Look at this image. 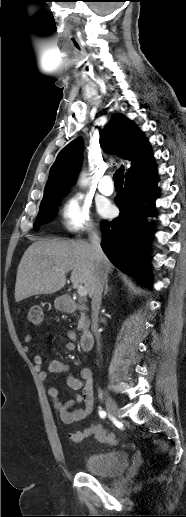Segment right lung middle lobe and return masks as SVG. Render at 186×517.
I'll return each mask as SVG.
<instances>
[{"label":"right lung middle lobe","mask_w":186,"mask_h":517,"mask_svg":"<svg viewBox=\"0 0 186 517\" xmlns=\"http://www.w3.org/2000/svg\"><path fill=\"white\" fill-rule=\"evenodd\" d=\"M64 194L65 193L57 194V195H53L48 198L42 199L39 213L34 222V229H37L39 225L45 224L52 219V217L56 211L57 204Z\"/></svg>","instance_id":"obj_1"}]
</instances>
